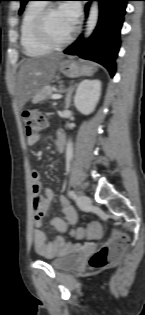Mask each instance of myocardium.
<instances>
[{
    "label": "myocardium",
    "mask_w": 145,
    "mask_h": 315,
    "mask_svg": "<svg viewBox=\"0 0 145 315\" xmlns=\"http://www.w3.org/2000/svg\"><path fill=\"white\" fill-rule=\"evenodd\" d=\"M56 9L58 8L55 5H46L38 13L33 23V33L35 38L49 49H59L66 46L72 41L75 34V28H73L72 32L62 41H54L49 37L46 29V21L49 14Z\"/></svg>",
    "instance_id": "obj_1"
}]
</instances>
